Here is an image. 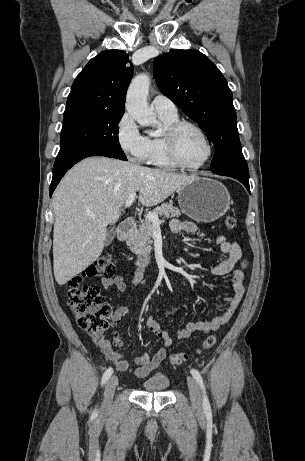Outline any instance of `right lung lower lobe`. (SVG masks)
Returning <instances> with one entry per match:
<instances>
[{
    "instance_id": "1",
    "label": "right lung lower lobe",
    "mask_w": 305,
    "mask_h": 461,
    "mask_svg": "<svg viewBox=\"0 0 305 461\" xmlns=\"http://www.w3.org/2000/svg\"><path fill=\"white\" fill-rule=\"evenodd\" d=\"M99 155L115 158L110 153L102 151V150H88L85 152L73 153L64 158H56L54 167H53V178H52V182L50 185V197L54 189L56 188L57 184L61 180V178L74 164H76L77 162H79L80 160L86 157L99 156Z\"/></svg>"
}]
</instances>
